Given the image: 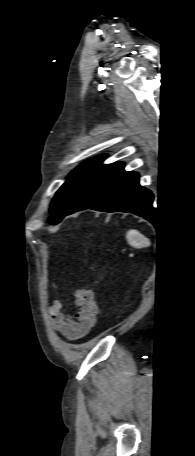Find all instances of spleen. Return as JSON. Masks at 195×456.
Segmentation results:
<instances>
[{"label":"spleen","mask_w":195,"mask_h":456,"mask_svg":"<svg viewBox=\"0 0 195 456\" xmlns=\"http://www.w3.org/2000/svg\"><path fill=\"white\" fill-rule=\"evenodd\" d=\"M127 240L134 247H144L150 245V241L136 230L127 232Z\"/></svg>","instance_id":"3e777b00"}]
</instances>
